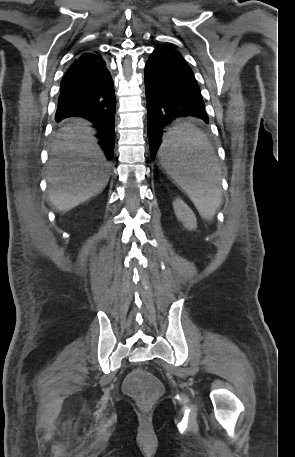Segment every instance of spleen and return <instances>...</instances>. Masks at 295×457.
<instances>
[{"instance_id":"1","label":"spleen","mask_w":295,"mask_h":457,"mask_svg":"<svg viewBox=\"0 0 295 457\" xmlns=\"http://www.w3.org/2000/svg\"><path fill=\"white\" fill-rule=\"evenodd\" d=\"M209 147L206 135L197 127L183 123L166 133L159 149L162 165L187 193L199 214L210 220L221 203L220 177L215 163L193 159L194 152Z\"/></svg>"}]
</instances>
